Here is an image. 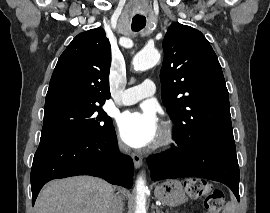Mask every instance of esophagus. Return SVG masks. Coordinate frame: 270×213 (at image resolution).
I'll list each match as a JSON object with an SVG mask.
<instances>
[{
  "mask_svg": "<svg viewBox=\"0 0 270 213\" xmlns=\"http://www.w3.org/2000/svg\"><path fill=\"white\" fill-rule=\"evenodd\" d=\"M134 166L136 169L140 168V166L142 165V156H140L137 153H132L131 155Z\"/></svg>",
  "mask_w": 270,
  "mask_h": 213,
  "instance_id": "esophagus-1",
  "label": "esophagus"
}]
</instances>
